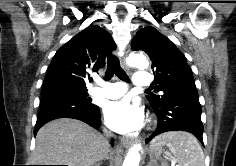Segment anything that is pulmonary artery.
<instances>
[{
  "instance_id": "1",
  "label": "pulmonary artery",
  "mask_w": 236,
  "mask_h": 166,
  "mask_svg": "<svg viewBox=\"0 0 236 166\" xmlns=\"http://www.w3.org/2000/svg\"><path fill=\"white\" fill-rule=\"evenodd\" d=\"M152 77L146 71H137L134 76L133 84L138 88H144L151 84ZM127 87L122 82H114L104 87H94L90 89V94L107 99H117L126 93Z\"/></svg>"
}]
</instances>
